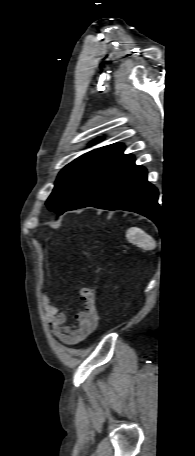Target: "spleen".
Masks as SVG:
<instances>
[{"mask_svg": "<svg viewBox=\"0 0 195 456\" xmlns=\"http://www.w3.org/2000/svg\"><path fill=\"white\" fill-rule=\"evenodd\" d=\"M126 236L130 242L135 243L144 249H152L155 247L154 240L140 228L131 227L128 229Z\"/></svg>", "mask_w": 195, "mask_h": 456, "instance_id": "1", "label": "spleen"}]
</instances>
